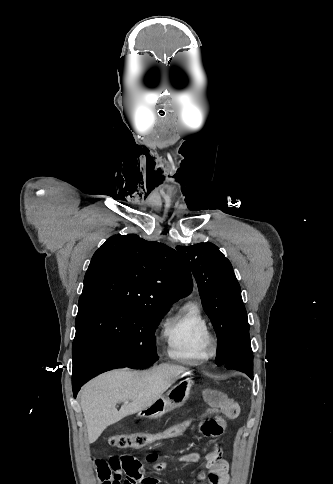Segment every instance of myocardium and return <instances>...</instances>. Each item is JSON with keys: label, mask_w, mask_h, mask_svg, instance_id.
<instances>
[{"label": "myocardium", "mask_w": 333, "mask_h": 484, "mask_svg": "<svg viewBox=\"0 0 333 484\" xmlns=\"http://www.w3.org/2000/svg\"><path fill=\"white\" fill-rule=\"evenodd\" d=\"M219 347V340L215 333L208 331L203 339V349L208 357H213L217 354Z\"/></svg>", "instance_id": "myocardium-1"}]
</instances>
